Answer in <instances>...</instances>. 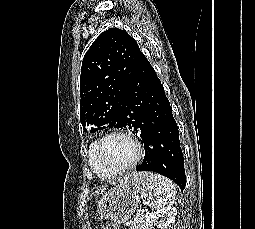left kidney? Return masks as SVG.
Segmentation results:
<instances>
[{"instance_id":"5707ae66","label":"left kidney","mask_w":255,"mask_h":229,"mask_svg":"<svg viewBox=\"0 0 255 229\" xmlns=\"http://www.w3.org/2000/svg\"><path fill=\"white\" fill-rule=\"evenodd\" d=\"M176 214L177 209L171 206L153 211L147 216L143 229H149V227L151 229L157 224L159 218L163 219L159 224L160 229H171L175 222Z\"/></svg>"}]
</instances>
